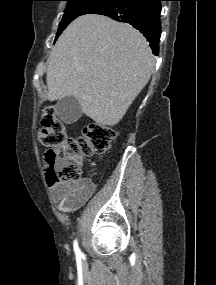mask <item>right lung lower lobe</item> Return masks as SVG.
<instances>
[{"instance_id":"1","label":"right lung lower lobe","mask_w":216,"mask_h":285,"mask_svg":"<svg viewBox=\"0 0 216 285\" xmlns=\"http://www.w3.org/2000/svg\"><path fill=\"white\" fill-rule=\"evenodd\" d=\"M163 0H115L93 14L108 16L131 24L146 37L152 52L159 53L161 35L160 12Z\"/></svg>"}]
</instances>
